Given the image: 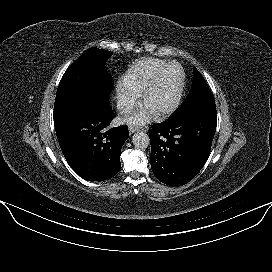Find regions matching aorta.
<instances>
[{
  "instance_id": "obj_1",
  "label": "aorta",
  "mask_w": 272,
  "mask_h": 272,
  "mask_svg": "<svg viewBox=\"0 0 272 272\" xmlns=\"http://www.w3.org/2000/svg\"><path fill=\"white\" fill-rule=\"evenodd\" d=\"M132 143L136 148L144 149L150 144L148 134L144 132H137L132 136Z\"/></svg>"
}]
</instances>
